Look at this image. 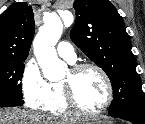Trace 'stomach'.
Here are the masks:
<instances>
[{
    "mask_svg": "<svg viewBox=\"0 0 145 124\" xmlns=\"http://www.w3.org/2000/svg\"><path fill=\"white\" fill-rule=\"evenodd\" d=\"M79 124H105L100 119H85L81 120Z\"/></svg>",
    "mask_w": 145,
    "mask_h": 124,
    "instance_id": "stomach-1",
    "label": "stomach"
}]
</instances>
